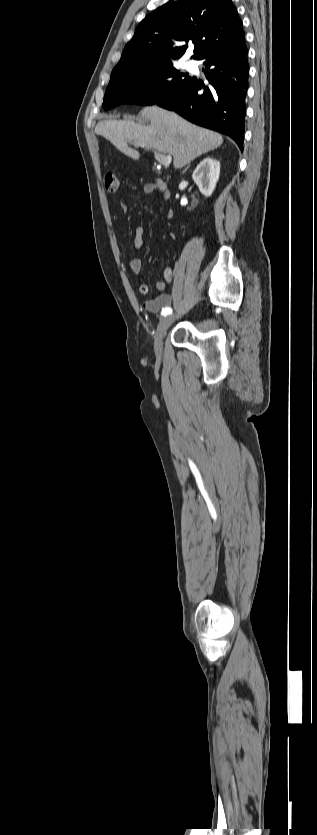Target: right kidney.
<instances>
[{"mask_svg":"<svg viewBox=\"0 0 317 835\" xmlns=\"http://www.w3.org/2000/svg\"><path fill=\"white\" fill-rule=\"evenodd\" d=\"M220 174V162L214 158H205L192 174L194 182L200 192L209 197L212 195Z\"/></svg>","mask_w":317,"mask_h":835,"instance_id":"ca27d5eb","label":"right kidney"}]
</instances>
